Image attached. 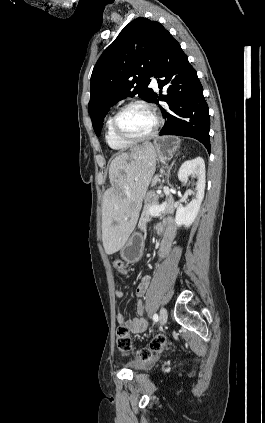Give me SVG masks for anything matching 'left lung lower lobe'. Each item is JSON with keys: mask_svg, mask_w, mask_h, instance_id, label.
Returning <instances> with one entry per match:
<instances>
[{"mask_svg": "<svg viewBox=\"0 0 265 423\" xmlns=\"http://www.w3.org/2000/svg\"><path fill=\"white\" fill-rule=\"evenodd\" d=\"M155 77L162 78L158 80L159 88L167 87L168 93L165 97H159L169 105L168 108L161 109L167 121L160 136L195 138L210 153V118L203 88L180 44L171 35ZM159 99L156 95L153 102L158 104Z\"/></svg>", "mask_w": 265, "mask_h": 423, "instance_id": "0a47b994", "label": "left lung lower lobe"}]
</instances>
